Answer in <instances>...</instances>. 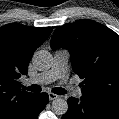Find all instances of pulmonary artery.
I'll use <instances>...</instances> for the list:
<instances>
[{
    "mask_svg": "<svg viewBox=\"0 0 119 119\" xmlns=\"http://www.w3.org/2000/svg\"><path fill=\"white\" fill-rule=\"evenodd\" d=\"M69 61V53L66 50H57L54 54V61L51 69L37 74L27 80L28 84H48L57 79L66 80L67 68ZM73 94L76 97L81 96L79 89H73Z\"/></svg>",
    "mask_w": 119,
    "mask_h": 119,
    "instance_id": "obj_1",
    "label": "pulmonary artery"
}]
</instances>
